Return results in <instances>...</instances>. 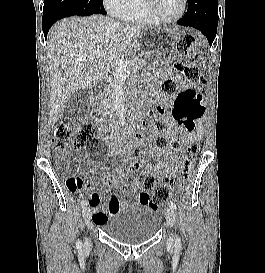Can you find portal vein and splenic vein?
Masks as SVG:
<instances>
[{
	"mask_svg": "<svg viewBox=\"0 0 265 273\" xmlns=\"http://www.w3.org/2000/svg\"><path fill=\"white\" fill-rule=\"evenodd\" d=\"M96 56H97V57H100L101 55L98 53ZM128 74H130V71H129V70L125 71V70H123L122 68H118V69L116 70V75H117V77H119V78H123V77H125V76L128 75Z\"/></svg>",
	"mask_w": 265,
	"mask_h": 273,
	"instance_id": "18ae733b",
	"label": "portal vein and splenic vein"
}]
</instances>
